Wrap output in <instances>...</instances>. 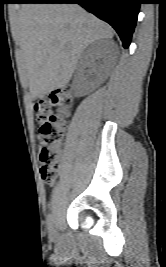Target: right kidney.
Returning a JSON list of instances; mask_svg holds the SVG:
<instances>
[{"label":"right kidney","mask_w":166,"mask_h":267,"mask_svg":"<svg viewBox=\"0 0 166 267\" xmlns=\"http://www.w3.org/2000/svg\"><path fill=\"white\" fill-rule=\"evenodd\" d=\"M105 53L104 45L101 42H95L88 47L86 52L81 58V66L77 73V81L75 87L80 91L81 94H86L92 88V81L84 76L85 68L93 65L95 71L99 74L102 70V66L95 63V60H99Z\"/></svg>","instance_id":"1"}]
</instances>
